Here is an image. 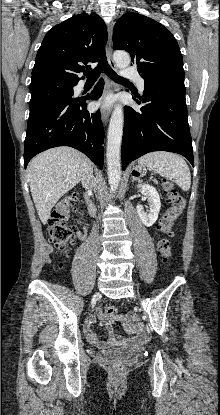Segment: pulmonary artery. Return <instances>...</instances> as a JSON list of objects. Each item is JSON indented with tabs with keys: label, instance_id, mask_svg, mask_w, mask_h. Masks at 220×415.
<instances>
[{
	"label": "pulmonary artery",
	"instance_id": "obj_1",
	"mask_svg": "<svg viewBox=\"0 0 220 415\" xmlns=\"http://www.w3.org/2000/svg\"><path fill=\"white\" fill-rule=\"evenodd\" d=\"M122 74L126 78H131V79L135 80V82H136V84H137L140 91L144 90V80L136 71H134L131 68H125V69L122 70Z\"/></svg>",
	"mask_w": 220,
	"mask_h": 415
}]
</instances>
